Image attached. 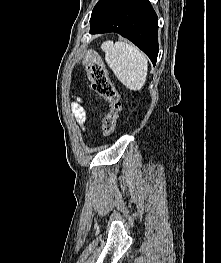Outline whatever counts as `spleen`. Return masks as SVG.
Listing matches in <instances>:
<instances>
[{
	"mask_svg": "<svg viewBox=\"0 0 221 263\" xmlns=\"http://www.w3.org/2000/svg\"><path fill=\"white\" fill-rule=\"evenodd\" d=\"M105 60L118 80L128 89L143 88L148 72V58L134 45L127 42L105 41L101 45Z\"/></svg>",
	"mask_w": 221,
	"mask_h": 263,
	"instance_id": "1",
	"label": "spleen"
}]
</instances>
